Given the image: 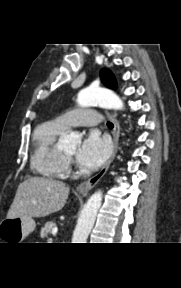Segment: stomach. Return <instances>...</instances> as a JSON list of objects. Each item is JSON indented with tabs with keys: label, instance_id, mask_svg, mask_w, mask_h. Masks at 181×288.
<instances>
[{
	"label": "stomach",
	"instance_id": "0dacf381",
	"mask_svg": "<svg viewBox=\"0 0 181 288\" xmlns=\"http://www.w3.org/2000/svg\"><path fill=\"white\" fill-rule=\"evenodd\" d=\"M32 218H6L0 222V239L4 243H21L35 229Z\"/></svg>",
	"mask_w": 181,
	"mask_h": 288
}]
</instances>
